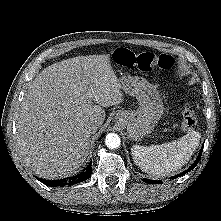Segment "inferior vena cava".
<instances>
[{"instance_id":"602c4592","label":"inferior vena cava","mask_w":221,"mask_h":221,"mask_svg":"<svg viewBox=\"0 0 221 221\" xmlns=\"http://www.w3.org/2000/svg\"><path fill=\"white\" fill-rule=\"evenodd\" d=\"M100 124L101 123L98 120L90 121L87 125L88 131L90 133L94 134L96 132V130L99 128Z\"/></svg>"}]
</instances>
